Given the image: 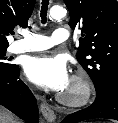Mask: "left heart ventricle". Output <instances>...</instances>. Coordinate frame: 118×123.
Returning a JSON list of instances; mask_svg holds the SVG:
<instances>
[{
    "label": "left heart ventricle",
    "instance_id": "1",
    "mask_svg": "<svg viewBox=\"0 0 118 123\" xmlns=\"http://www.w3.org/2000/svg\"><path fill=\"white\" fill-rule=\"evenodd\" d=\"M63 93L73 95L75 93V88L69 84L68 87L63 91Z\"/></svg>",
    "mask_w": 118,
    "mask_h": 123
}]
</instances>
